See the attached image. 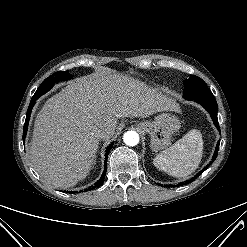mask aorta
Segmentation results:
<instances>
[{
	"mask_svg": "<svg viewBox=\"0 0 247 247\" xmlns=\"http://www.w3.org/2000/svg\"><path fill=\"white\" fill-rule=\"evenodd\" d=\"M123 141L128 146H135L139 143V135L135 131H127L123 136Z\"/></svg>",
	"mask_w": 247,
	"mask_h": 247,
	"instance_id": "aorta-1",
	"label": "aorta"
}]
</instances>
